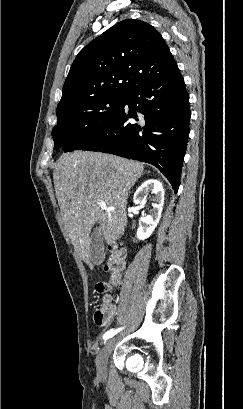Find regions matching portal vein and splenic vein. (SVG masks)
I'll return each instance as SVG.
<instances>
[{
  "label": "portal vein and splenic vein",
  "mask_w": 243,
  "mask_h": 409,
  "mask_svg": "<svg viewBox=\"0 0 243 409\" xmlns=\"http://www.w3.org/2000/svg\"><path fill=\"white\" fill-rule=\"evenodd\" d=\"M98 205L101 207L102 210H108L109 208L107 207L106 203L102 200L98 202Z\"/></svg>",
  "instance_id": "1"
}]
</instances>
